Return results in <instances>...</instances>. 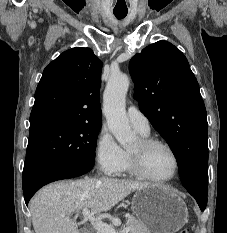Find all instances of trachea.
Masks as SVG:
<instances>
[{"label":"trachea","mask_w":227,"mask_h":233,"mask_svg":"<svg viewBox=\"0 0 227 233\" xmlns=\"http://www.w3.org/2000/svg\"><path fill=\"white\" fill-rule=\"evenodd\" d=\"M114 14L118 19H122L127 15V12H114Z\"/></svg>","instance_id":"obj_1"}]
</instances>
